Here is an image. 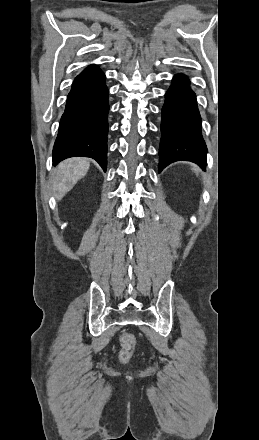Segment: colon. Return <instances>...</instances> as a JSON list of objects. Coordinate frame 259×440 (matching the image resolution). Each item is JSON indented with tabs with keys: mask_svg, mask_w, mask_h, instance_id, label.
Segmentation results:
<instances>
[{
	"mask_svg": "<svg viewBox=\"0 0 259 440\" xmlns=\"http://www.w3.org/2000/svg\"><path fill=\"white\" fill-rule=\"evenodd\" d=\"M136 344V338L129 332H124L120 336V350L118 353V359L121 363H128L133 354V350Z\"/></svg>",
	"mask_w": 259,
	"mask_h": 440,
	"instance_id": "colon-1",
	"label": "colon"
}]
</instances>
